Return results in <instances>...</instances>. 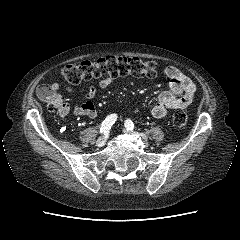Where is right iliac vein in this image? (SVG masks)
Segmentation results:
<instances>
[{
    "mask_svg": "<svg viewBox=\"0 0 240 240\" xmlns=\"http://www.w3.org/2000/svg\"><path fill=\"white\" fill-rule=\"evenodd\" d=\"M105 143H106V137L105 136H102V137L98 138V140L96 141V145L98 147L104 146Z\"/></svg>",
    "mask_w": 240,
    "mask_h": 240,
    "instance_id": "obj_1",
    "label": "right iliac vein"
}]
</instances>
